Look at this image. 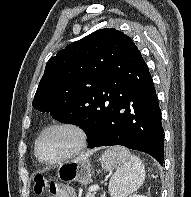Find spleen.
<instances>
[{
	"label": "spleen",
	"instance_id": "spleen-1",
	"mask_svg": "<svg viewBox=\"0 0 191 197\" xmlns=\"http://www.w3.org/2000/svg\"><path fill=\"white\" fill-rule=\"evenodd\" d=\"M107 152L118 163L109 184L110 193L113 197H129L144 183V164L138 156L132 155L122 146L112 147Z\"/></svg>",
	"mask_w": 191,
	"mask_h": 197
}]
</instances>
